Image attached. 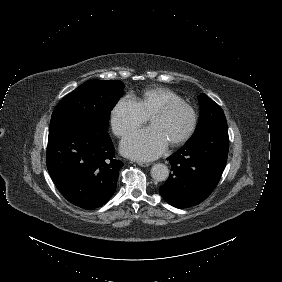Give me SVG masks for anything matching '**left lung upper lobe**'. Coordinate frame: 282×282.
<instances>
[{
  "mask_svg": "<svg viewBox=\"0 0 282 282\" xmlns=\"http://www.w3.org/2000/svg\"><path fill=\"white\" fill-rule=\"evenodd\" d=\"M199 106L200 117L195 134L215 125L226 124L223 110L207 95L201 94L199 96Z\"/></svg>",
  "mask_w": 282,
  "mask_h": 282,
  "instance_id": "5c2ea615",
  "label": "left lung upper lobe"
}]
</instances>
